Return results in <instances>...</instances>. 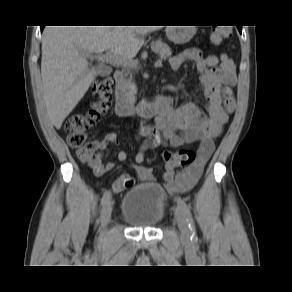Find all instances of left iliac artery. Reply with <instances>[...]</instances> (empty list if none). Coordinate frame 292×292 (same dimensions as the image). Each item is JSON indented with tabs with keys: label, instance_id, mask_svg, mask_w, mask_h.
Here are the masks:
<instances>
[{
	"label": "left iliac artery",
	"instance_id": "44dca946",
	"mask_svg": "<svg viewBox=\"0 0 292 292\" xmlns=\"http://www.w3.org/2000/svg\"><path fill=\"white\" fill-rule=\"evenodd\" d=\"M176 201H177L178 207L183 210V212L185 213V215L187 217V221L189 223V228H190V232H191V239L197 240L195 223H194V219L192 217L191 211L189 209V206L181 198H176Z\"/></svg>",
	"mask_w": 292,
	"mask_h": 292
}]
</instances>
